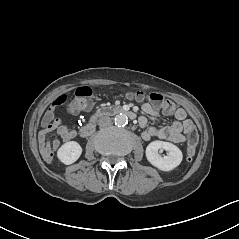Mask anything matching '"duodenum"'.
<instances>
[{
    "label": "duodenum",
    "mask_w": 239,
    "mask_h": 239,
    "mask_svg": "<svg viewBox=\"0 0 239 239\" xmlns=\"http://www.w3.org/2000/svg\"><path fill=\"white\" fill-rule=\"evenodd\" d=\"M116 114H125L128 116L130 119H135L136 114L128 110L122 106L119 105H114V106H108V107H103L98 109L90 118L89 122L86 123L80 130V134L83 137L90 136L94 130H95V123L98 118L103 117V116H108V115H116Z\"/></svg>",
    "instance_id": "obj_1"
}]
</instances>
